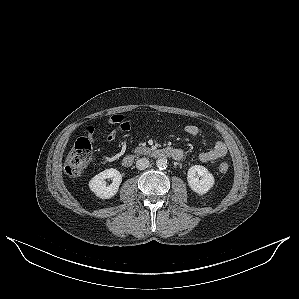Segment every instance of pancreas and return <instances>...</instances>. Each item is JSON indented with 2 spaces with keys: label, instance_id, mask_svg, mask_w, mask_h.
I'll list each match as a JSON object with an SVG mask.
<instances>
[{
  "label": "pancreas",
  "instance_id": "obj_1",
  "mask_svg": "<svg viewBox=\"0 0 299 299\" xmlns=\"http://www.w3.org/2000/svg\"><path fill=\"white\" fill-rule=\"evenodd\" d=\"M147 151H149V148L140 146V147L135 148L134 153H136V154H144Z\"/></svg>",
  "mask_w": 299,
  "mask_h": 299
}]
</instances>
